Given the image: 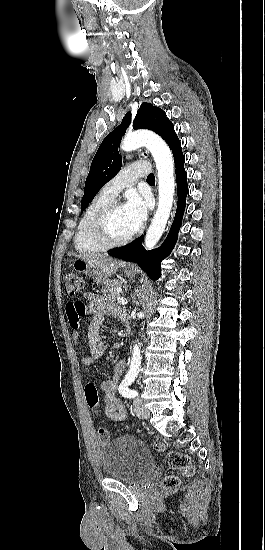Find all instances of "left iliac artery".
Segmentation results:
<instances>
[{"label":"left iliac artery","instance_id":"obj_1","mask_svg":"<svg viewBox=\"0 0 265 550\" xmlns=\"http://www.w3.org/2000/svg\"><path fill=\"white\" fill-rule=\"evenodd\" d=\"M134 380L129 378L125 379L119 386V393L126 398H134L138 395V393L135 390H131L128 388L129 385L132 384Z\"/></svg>","mask_w":265,"mask_h":550}]
</instances>
